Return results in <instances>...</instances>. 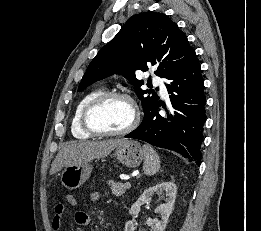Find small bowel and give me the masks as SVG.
<instances>
[{
    "instance_id": "1",
    "label": "small bowel",
    "mask_w": 261,
    "mask_h": 231,
    "mask_svg": "<svg viewBox=\"0 0 261 231\" xmlns=\"http://www.w3.org/2000/svg\"><path fill=\"white\" fill-rule=\"evenodd\" d=\"M92 198L94 200L99 199L98 194H93ZM64 214V207L62 205H56L55 214L52 221V225L55 231H59L61 229L62 216ZM75 221L79 226H87L90 223V216L87 212L83 210H79L75 214Z\"/></svg>"
}]
</instances>
